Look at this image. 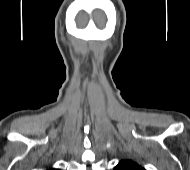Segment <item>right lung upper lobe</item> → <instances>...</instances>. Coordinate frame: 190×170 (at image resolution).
I'll list each match as a JSON object with an SVG mask.
<instances>
[{
  "label": "right lung upper lobe",
  "mask_w": 190,
  "mask_h": 170,
  "mask_svg": "<svg viewBox=\"0 0 190 170\" xmlns=\"http://www.w3.org/2000/svg\"><path fill=\"white\" fill-rule=\"evenodd\" d=\"M48 170H58V169H53V168H50V169H48Z\"/></svg>",
  "instance_id": "right-lung-upper-lobe-1"
}]
</instances>
